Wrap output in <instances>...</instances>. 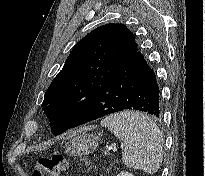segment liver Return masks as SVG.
<instances>
[{
	"label": "liver",
	"instance_id": "6515ba94",
	"mask_svg": "<svg viewBox=\"0 0 205 176\" xmlns=\"http://www.w3.org/2000/svg\"><path fill=\"white\" fill-rule=\"evenodd\" d=\"M88 130V128H84L83 130H81V131H87ZM74 134H76V132L74 133Z\"/></svg>",
	"mask_w": 205,
	"mask_h": 176
}]
</instances>
